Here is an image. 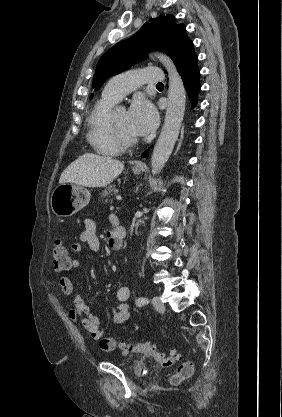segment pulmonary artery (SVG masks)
Returning a JSON list of instances; mask_svg holds the SVG:
<instances>
[{
  "instance_id": "pulmonary-artery-1",
  "label": "pulmonary artery",
  "mask_w": 282,
  "mask_h": 417,
  "mask_svg": "<svg viewBox=\"0 0 282 417\" xmlns=\"http://www.w3.org/2000/svg\"><path fill=\"white\" fill-rule=\"evenodd\" d=\"M161 73V65H142L141 70H129L113 77L105 86L102 95L117 102L143 83H165L166 76Z\"/></svg>"
}]
</instances>
